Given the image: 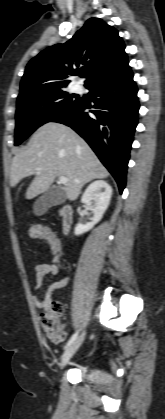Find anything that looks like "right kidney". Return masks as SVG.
I'll list each match as a JSON object with an SVG mask.
<instances>
[{
    "label": "right kidney",
    "mask_w": 165,
    "mask_h": 419,
    "mask_svg": "<svg viewBox=\"0 0 165 419\" xmlns=\"http://www.w3.org/2000/svg\"><path fill=\"white\" fill-rule=\"evenodd\" d=\"M112 192V187L104 180L94 181L87 187L81 202L93 212L94 217L87 224L78 223L74 229L75 235H81L91 230L102 219L110 204Z\"/></svg>",
    "instance_id": "ca27d5eb"
}]
</instances>
